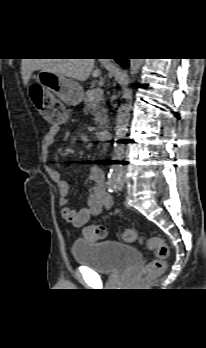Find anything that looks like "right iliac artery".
I'll list each match as a JSON object with an SVG mask.
<instances>
[{
    "mask_svg": "<svg viewBox=\"0 0 206 348\" xmlns=\"http://www.w3.org/2000/svg\"><path fill=\"white\" fill-rule=\"evenodd\" d=\"M121 173L118 169H114L110 171V174L108 175V191L113 192L117 188V184L120 181Z\"/></svg>",
    "mask_w": 206,
    "mask_h": 348,
    "instance_id": "obj_1",
    "label": "right iliac artery"
}]
</instances>
